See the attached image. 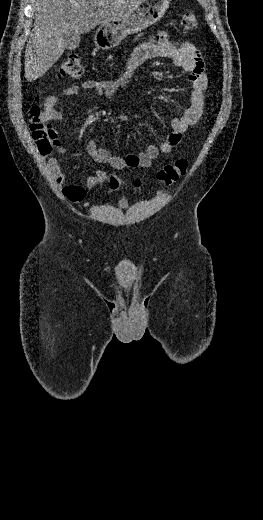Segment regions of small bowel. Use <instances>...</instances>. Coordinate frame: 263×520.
I'll return each mask as SVG.
<instances>
[{"instance_id": "c3829d8e", "label": "small bowel", "mask_w": 263, "mask_h": 520, "mask_svg": "<svg viewBox=\"0 0 263 520\" xmlns=\"http://www.w3.org/2000/svg\"><path fill=\"white\" fill-rule=\"evenodd\" d=\"M157 58L170 59L174 65L188 73V81L192 86L189 106L181 116L172 119V130L160 145H149L141 153L125 157L113 156L107 149L99 147L95 140H88L85 144L86 150L96 162L108 164L114 169L148 168L158 156L171 153L173 148L180 144L183 133L201 118L205 105V92L208 87L203 59L192 43L173 42L165 32H159L136 46L117 80H86L80 85L65 87L61 95L77 96L82 90H93L99 95L113 94L127 86L136 68ZM59 99V95H49L45 99L43 117L46 121H59L64 118L63 113L57 108ZM58 152L63 153L64 148H58ZM47 167L62 194L72 202L82 201L88 189L94 188L105 180L104 171L96 170L83 180L82 185L75 184L66 175L65 168L56 157L48 159Z\"/></svg>"}]
</instances>
